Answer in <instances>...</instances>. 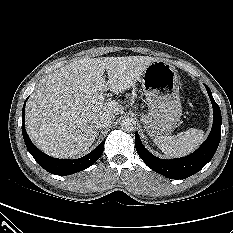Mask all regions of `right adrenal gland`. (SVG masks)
Masks as SVG:
<instances>
[{"mask_svg":"<svg viewBox=\"0 0 233 233\" xmlns=\"http://www.w3.org/2000/svg\"><path fill=\"white\" fill-rule=\"evenodd\" d=\"M99 132L96 133V137L98 136Z\"/></svg>","mask_w":233,"mask_h":233,"instance_id":"obj_1","label":"right adrenal gland"}]
</instances>
